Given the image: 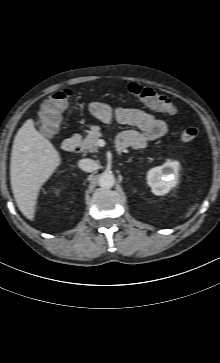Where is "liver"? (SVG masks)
Returning a JSON list of instances; mask_svg holds the SVG:
<instances>
[{
    "mask_svg": "<svg viewBox=\"0 0 220 363\" xmlns=\"http://www.w3.org/2000/svg\"><path fill=\"white\" fill-rule=\"evenodd\" d=\"M53 144L28 119L15 135L10 162L13 196L22 214L33 220L41 186L61 164Z\"/></svg>",
    "mask_w": 220,
    "mask_h": 363,
    "instance_id": "liver-1",
    "label": "liver"
}]
</instances>
